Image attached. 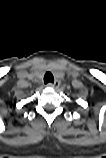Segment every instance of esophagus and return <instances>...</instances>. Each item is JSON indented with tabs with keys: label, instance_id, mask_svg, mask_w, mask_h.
<instances>
[{
	"label": "esophagus",
	"instance_id": "34e87169",
	"mask_svg": "<svg viewBox=\"0 0 106 158\" xmlns=\"http://www.w3.org/2000/svg\"><path fill=\"white\" fill-rule=\"evenodd\" d=\"M47 86L51 87V88H55V87L59 86V82L58 81L50 82L47 84Z\"/></svg>",
	"mask_w": 106,
	"mask_h": 158
}]
</instances>
